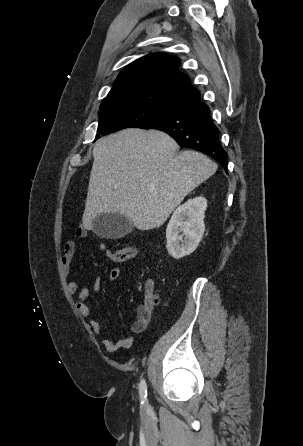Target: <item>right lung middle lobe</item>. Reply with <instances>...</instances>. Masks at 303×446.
I'll use <instances>...</instances> for the list:
<instances>
[{"mask_svg": "<svg viewBox=\"0 0 303 446\" xmlns=\"http://www.w3.org/2000/svg\"><path fill=\"white\" fill-rule=\"evenodd\" d=\"M183 105V100H176L168 107V112L174 111ZM162 110H154L140 105H108L100 107V119L95 141L100 135H107L112 132L140 127L148 121L159 117L165 113Z\"/></svg>", "mask_w": 303, "mask_h": 446, "instance_id": "dd1d6c3e", "label": "right lung middle lobe"}]
</instances>
